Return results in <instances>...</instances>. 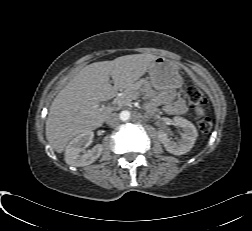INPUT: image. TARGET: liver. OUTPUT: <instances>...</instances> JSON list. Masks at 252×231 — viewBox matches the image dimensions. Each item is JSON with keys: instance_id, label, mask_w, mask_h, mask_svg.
<instances>
[{"instance_id": "6515ba94", "label": "liver", "mask_w": 252, "mask_h": 231, "mask_svg": "<svg viewBox=\"0 0 252 231\" xmlns=\"http://www.w3.org/2000/svg\"><path fill=\"white\" fill-rule=\"evenodd\" d=\"M156 58L151 54L126 55L84 67L50 106L46 138L53 149L61 153L73 137L100 127L112 112L111 107L101 108L100 102L114 98L118 91L138 90V80L149 71Z\"/></svg>"}]
</instances>
